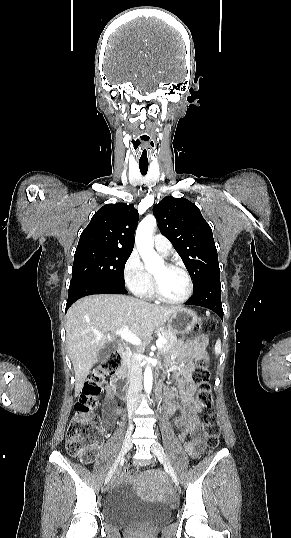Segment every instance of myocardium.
Instances as JSON below:
<instances>
[{"mask_svg": "<svg viewBox=\"0 0 291 538\" xmlns=\"http://www.w3.org/2000/svg\"><path fill=\"white\" fill-rule=\"evenodd\" d=\"M164 265L169 269L180 270L184 274V276L186 277V280H187V291H186L185 295L183 297L179 298V299H170V298L166 297L165 295H163V293L161 292V289H160V286L158 284L157 279L152 275L151 287H152V292H153L154 296L157 299H159L160 301L168 303V304H182V303H185L186 301H188L190 299V297L193 294V290H194L193 280H192V277H191L189 271L182 264L177 263V262H164Z\"/></svg>", "mask_w": 291, "mask_h": 538, "instance_id": "obj_1", "label": "myocardium"}]
</instances>
